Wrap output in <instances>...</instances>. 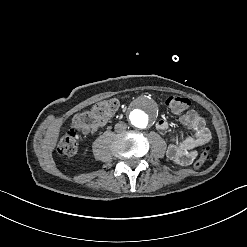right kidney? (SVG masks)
Segmentation results:
<instances>
[{
  "label": "right kidney",
  "instance_id": "obj_1",
  "mask_svg": "<svg viewBox=\"0 0 247 247\" xmlns=\"http://www.w3.org/2000/svg\"><path fill=\"white\" fill-rule=\"evenodd\" d=\"M86 153H87V150H84V151L81 153V155H82V156H86Z\"/></svg>",
  "mask_w": 247,
  "mask_h": 247
}]
</instances>
